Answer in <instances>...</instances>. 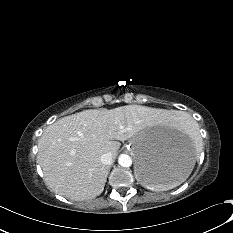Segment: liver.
<instances>
[{"mask_svg":"<svg viewBox=\"0 0 233 233\" xmlns=\"http://www.w3.org/2000/svg\"><path fill=\"white\" fill-rule=\"evenodd\" d=\"M185 114L174 110L126 105L114 109H89L57 120L38 140V162L47 185L74 201L99 195L108 166L101 156L117 155L119 141L132 139L150 127L167 126Z\"/></svg>","mask_w":233,"mask_h":233,"instance_id":"obj_1","label":"liver"}]
</instances>
